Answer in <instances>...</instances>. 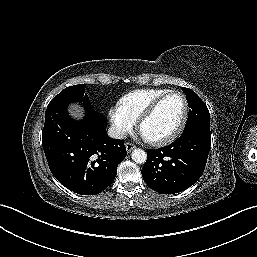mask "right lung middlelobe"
Here are the masks:
<instances>
[{"label":"right lung middle lobe","mask_w":257,"mask_h":257,"mask_svg":"<svg viewBox=\"0 0 257 257\" xmlns=\"http://www.w3.org/2000/svg\"><path fill=\"white\" fill-rule=\"evenodd\" d=\"M85 85L78 84L74 86H70L61 91L58 95H56L48 106H52L55 104L61 103H70V102H80L84 105H91L87 94L85 93Z\"/></svg>","instance_id":"right-lung-middle-lobe-1"}]
</instances>
